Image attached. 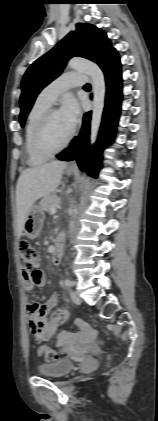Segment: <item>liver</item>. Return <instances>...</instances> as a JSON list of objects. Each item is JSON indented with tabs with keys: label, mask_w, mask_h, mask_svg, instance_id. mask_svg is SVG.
Wrapping results in <instances>:
<instances>
[{
	"label": "liver",
	"mask_w": 158,
	"mask_h": 421,
	"mask_svg": "<svg viewBox=\"0 0 158 421\" xmlns=\"http://www.w3.org/2000/svg\"><path fill=\"white\" fill-rule=\"evenodd\" d=\"M66 165V162L54 161L21 172L16 186L18 236L24 230L26 215L33 204L57 189Z\"/></svg>",
	"instance_id": "obj_1"
}]
</instances>
